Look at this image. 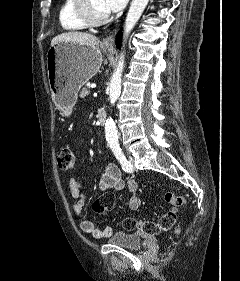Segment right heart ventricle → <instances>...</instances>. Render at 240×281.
<instances>
[{"mask_svg": "<svg viewBox=\"0 0 240 281\" xmlns=\"http://www.w3.org/2000/svg\"><path fill=\"white\" fill-rule=\"evenodd\" d=\"M77 0H64L59 10V22L61 27L66 31H81L88 26L81 21L76 12Z\"/></svg>", "mask_w": 240, "mask_h": 281, "instance_id": "e07e8e85", "label": "right heart ventricle"}]
</instances>
